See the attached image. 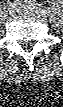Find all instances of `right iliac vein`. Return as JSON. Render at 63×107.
Segmentation results:
<instances>
[{"mask_svg":"<svg viewBox=\"0 0 63 107\" xmlns=\"http://www.w3.org/2000/svg\"><path fill=\"white\" fill-rule=\"evenodd\" d=\"M8 12H9L10 16H15V14L17 12V8L15 6H10L8 9Z\"/></svg>","mask_w":63,"mask_h":107,"instance_id":"right-iliac-vein-1","label":"right iliac vein"}]
</instances>
